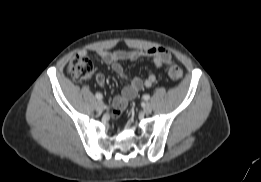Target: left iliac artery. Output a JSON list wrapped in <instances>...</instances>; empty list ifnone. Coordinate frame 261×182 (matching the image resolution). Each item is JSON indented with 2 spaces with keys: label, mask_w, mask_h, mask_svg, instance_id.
I'll return each mask as SVG.
<instances>
[{
  "label": "left iliac artery",
  "mask_w": 261,
  "mask_h": 182,
  "mask_svg": "<svg viewBox=\"0 0 261 182\" xmlns=\"http://www.w3.org/2000/svg\"><path fill=\"white\" fill-rule=\"evenodd\" d=\"M143 99L147 101V100L150 99V96H149L148 94H145V95L143 96Z\"/></svg>",
  "instance_id": "1"
}]
</instances>
